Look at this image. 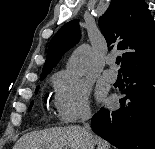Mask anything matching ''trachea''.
<instances>
[{
    "label": "trachea",
    "mask_w": 155,
    "mask_h": 149,
    "mask_svg": "<svg viewBox=\"0 0 155 149\" xmlns=\"http://www.w3.org/2000/svg\"><path fill=\"white\" fill-rule=\"evenodd\" d=\"M120 61H121V57H117L116 64L119 65Z\"/></svg>",
    "instance_id": "1"
}]
</instances>
